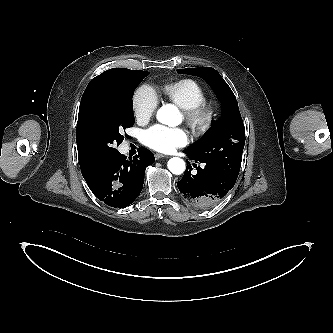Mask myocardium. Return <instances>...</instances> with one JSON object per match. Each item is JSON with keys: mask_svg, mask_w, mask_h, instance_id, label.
I'll return each instance as SVG.
<instances>
[{"mask_svg": "<svg viewBox=\"0 0 333 333\" xmlns=\"http://www.w3.org/2000/svg\"><path fill=\"white\" fill-rule=\"evenodd\" d=\"M184 118L192 133L200 137L207 134L214 126L218 118V109L212 103L203 102L185 109Z\"/></svg>", "mask_w": 333, "mask_h": 333, "instance_id": "myocardium-1", "label": "myocardium"}]
</instances>
